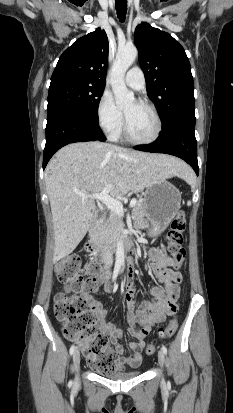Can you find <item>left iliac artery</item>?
I'll list each match as a JSON object with an SVG mask.
<instances>
[{
	"label": "left iliac artery",
	"instance_id": "left-iliac-artery-1",
	"mask_svg": "<svg viewBox=\"0 0 233 413\" xmlns=\"http://www.w3.org/2000/svg\"><path fill=\"white\" fill-rule=\"evenodd\" d=\"M162 351L164 352V354H167V348L164 345H162Z\"/></svg>",
	"mask_w": 233,
	"mask_h": 413
}]
</instances>
